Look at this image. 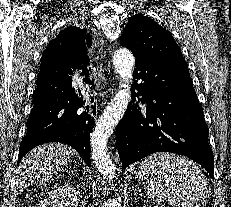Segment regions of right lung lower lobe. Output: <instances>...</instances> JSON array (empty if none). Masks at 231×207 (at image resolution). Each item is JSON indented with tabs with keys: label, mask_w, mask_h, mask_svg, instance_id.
<instances>
[{
	"label": "right lung lower lobe",
	"mask_w": 231,
	"mask_h": 207,
	"mask_svg": "<svg viewBox=\"0 0 231 207\" xmlns=\"http://www.w3.org/2000/svg\"><path fill=\"white\" fill-rule=\"evenodd\" d=\"M75 32L80 28L70 27ZM87 31V30H86ZM87 61L79 69L84 70V82L95 90V84L89 78ZM72 70L60 65H42L38 74L37 88L33 94V109L27 120V133L19 148V162L34 147L60 142L72 146L90 163V133L94 125L96 105L94 98L80 96L72 88ZM18 162V163H19Z\"/></svg>",
	"instance_id": "obj_1"
}]
</instances>
